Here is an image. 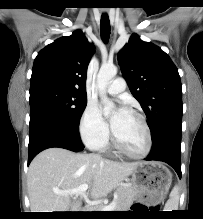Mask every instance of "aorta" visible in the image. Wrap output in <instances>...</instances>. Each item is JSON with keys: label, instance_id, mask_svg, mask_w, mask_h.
Wrapping results in <instances>:
<instances>
[{"label": "aorta", "instance_id": "obj_1", "mask_svg": "<svg viewBox=\"0 0 203 219\" xmlns=\"http://www.w3.org/2000/svg\"><path fill=\"white\" fill-rule=\"evenodd\" d=\"M116 74L117 67L115 65H103L97 75V87L99 90V96L104 104L103 112L105 116L111 114L115 108L114 103L110 101L106 95V87Z\"/></svg>", "mask_w": 203, "mask_h": 219}]
</instances>
